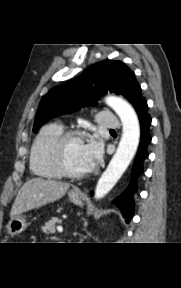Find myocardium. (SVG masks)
Instances as JSON below:
<instances>
[{
    "mask_svg": "<svg viewBox=\"0 0 181 288\" xmlns=\"http://www.w3.org/2000/svg\"><path fill=\"white\" fill-rule=\"evenodd\" d=\"M86 137V133L83 131L78 130H68L63 132L55 141L54 147H53V158L54 163L57 167V169L60 171V173L63 176L70 177V178H82L90 174L93 170V166L91 165L87 170L85 171H74L72 170L65 158V150L67 144L76 139H84Z\"/></svg>",
    "mask_w": 181,
    "mask_h": 288,
    "instance_id": "obj_1",
    "label": "myocardium"
}]
</instances>
